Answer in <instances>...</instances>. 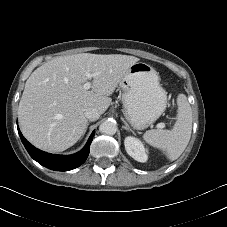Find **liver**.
<instances>
[{"label": "liver", "mask_w": 227, "mask_h": 227, "mask_svg": "<svg viewBox=\"0 0 227 227\" xmlns=\"http://www.w3.org/2000/svg\"><path fill=\"white\" fill-rule=\"evenodd\" d=\"M139 58L121 54L81 53L53 58L27 79L18 107L25 138L49 152L73 146L87 125L85 111L103 114L110 96L128 69ZM93 75L91 91L84 89L85 74Z\"/></svg>", "instance_id": "6515ba94"}]
</instances>
